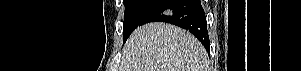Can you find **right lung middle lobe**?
<instances>
[{
    "instance_id": "obj_1",
    "label": "right lung middle lobe",
    "mask_w": 301,
    "mask_h": 71,
    "mask_svg": "<svg viewBox=\"0 0 301 71\" xmlns=\"http://www.w3.org/2000/svg\"><path fill=\"white\" fill-rule=\"evenodd\" d=\"M157 0H123L125 5L123 36L124 42L136 29L144 14Z\"/></svg>"
}]
</instances>
